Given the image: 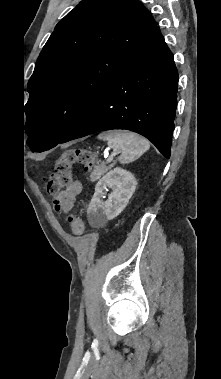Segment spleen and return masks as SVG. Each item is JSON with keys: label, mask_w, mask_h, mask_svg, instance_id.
<instances>
[{"label": "spleen", "mask_w": 221, "mask_h": 379, "mask_svg": "<svg viewBox=\"0 0 221 379\" xmlns=\"http://www.w3.org/2000/svg\"><path fill=\"white\" fill-rule=\"evenodd\" d=\"M98 139L107 141L114 152H119L118 161L128 164L138 159L150 148L148 140L142 136L128 131H108L101 133Z\"/></svg>", "instance_id": "1"}]
</instances>
